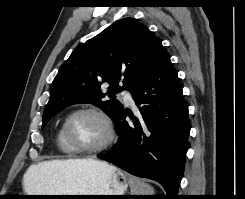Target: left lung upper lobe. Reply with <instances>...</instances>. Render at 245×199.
<instances>
[{
	"label": "left lung upper lobe",
	"instance_id": "1",
	"mask_svg": "<svg viewBox=\"0 0 245 199\" xmlns=\"http://www.w3.org/2000/svg\"><path fill=\"white\" fill-rule=\"evenodd\" d=\"M163 49L161 41L137 20L116 21L77 47L60 67L51 85L42 128L56 113L77 103L97 105L115 121L124 109L114 95L119 82L131 91ZM103 83L109 84L107 93L101 91ZM108 93L111 99L105 101Z\"/></svg>",
	"mask_w": 245,
	"mask_h": 199
}]
</instances>
